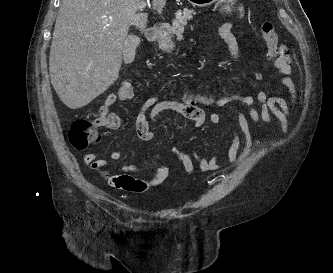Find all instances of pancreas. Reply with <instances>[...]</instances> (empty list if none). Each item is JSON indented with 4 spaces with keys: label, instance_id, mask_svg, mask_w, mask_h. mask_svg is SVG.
Segmentation results:
<instances>
[{
    "label": "pancreas",
    "instance_id": "cf45deb5",
    "mask_svg": "<svg viewBox=\"0 0 333 273\" xmlns=\"http://www.w3.org/2000/svg\"><path fill=\"white\" fill-rule=\"evenodd\" d=\"M194 10L187 8L178 10L175 13V19L172 22L171 34L180 36L184 32V27L187 25V21L193 19Z\"/></svg>",
    "mask_w": 333,
    "mask_h": 273
}]
</instances>
